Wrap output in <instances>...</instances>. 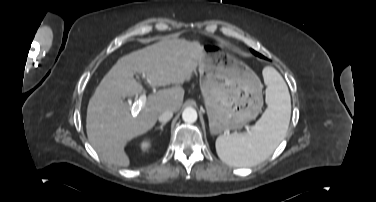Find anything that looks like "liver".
<instances>
[{
	"mask_svg": "<svg viewBox=\"0 0 376 202\" xmlns=\"http://www.w3.org/2000/svg\"><path fill=\"white\" fill-rule=\"evenodd\" d=\"M202 55L203 46L198 41L164 38L116 62L87 107L88 140L103 160L115 166H129L126 144L150 130L165 110L177 112L181 108L184 89L180 85L191 79ZM134 74H142L154 87L179 86L150 94L146 104L135 110L122 100L143 92Z\"/></svg>",
	"mask_w": 376,
	"mask_h": 202,
	"instance_id": "obj_1",
	"label": "liver"
}]
</instances>
